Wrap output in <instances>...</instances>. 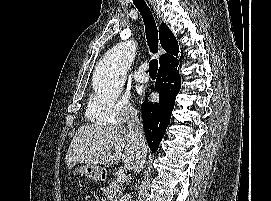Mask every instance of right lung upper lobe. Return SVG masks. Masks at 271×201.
<instances>
[{
    "label": "right lung upper lobe",
    "instance_id": "cb5924a9",
    "mask_svg": "<svg viewBox=\"0 0 271 201\" xmlns=\"http://www.w3.org/2000/svg\"><path fill=\"white\" fill-rule=\"evenodd\" d=\"M159 38L162 48L167 52L160 57V66L176 60L179 51L176 38L165 23H162L159 28Z\"/></svg>",
    "mask_w": 271,
    "mask_h": 201
}]
</instances>
